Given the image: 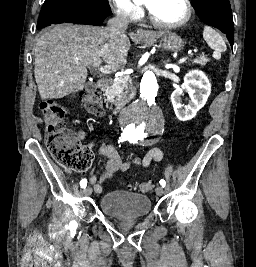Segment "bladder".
<instances>
[{"instance_id":"1","label":"bladder","mask_w":256,"mask_h":267,"mask_svg":"<svg viewBox=\"0 0 256 267\" xmlns=\"http://www.w3.org/2000/svg\"><path fill=\"white\" fill-rule=\"evenodd\" d=\"M100 210L118 218H139L150 214V197L143 194L114 190L101 197Z\"/></svg>"}]
</instances>
